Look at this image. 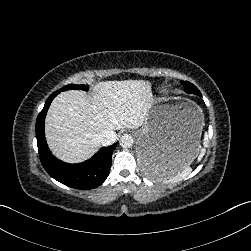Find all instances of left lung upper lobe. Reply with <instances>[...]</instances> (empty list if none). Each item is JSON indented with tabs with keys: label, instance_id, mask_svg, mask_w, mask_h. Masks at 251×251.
Returning a JSON list of instances; mask_svg holds the SVG:
<instances>
[{
	"label": "left lung upper lobe",
	"instance_id": "5c2ea615",
	"mask_svg": "<svg viewBox=\"0 0 251 251\" xmlns=\"http://www.w3.org/2000/svg\"><path fill=\"white\" fill-rule=\"evenodd\" d=\"M181 83L184 85L185 92L202 96L198 88L194 86L192 83L188 81H182Z\"/></svg>",
	"mask_w": 251,
	"mask_h": 251
}]
</instances>
